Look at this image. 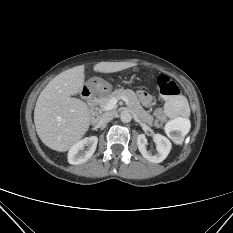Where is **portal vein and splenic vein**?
<instances>
[{
    "label": "portal vein and splenic vein",
    "mask_w": 233,
    "mask_h": 233,
    "mask_svg": "<svg viewBox=\"0 0 233 233\" xmlns=\"http://www.w3.org/2000/svg\"><path fill=\"white\" fill-rule=\"evenodd\" d=\"M120 99L123 100V101H125L126 104H129V100H128V98L125 97V96H120L119 98L114 97V98H111V99L103 106V109L106 110V111L114 109V108L116 107V105H117L118 100H120Z\"/></svg>",
    "instance_id": "18ae733b"
}]
</instances>
